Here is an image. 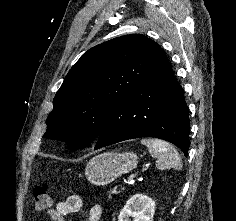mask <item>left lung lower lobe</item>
Returning <instances> with one entry per match:
<instances>
[{"label": "left lung lower lobe", "mask_w": 236, "mask_h": 221, "mask_svg": "<svg viewBox=\"0 0 236 221\" xmlns=\"http://www.w3.org/2000/svg\"><path fill=\"white\" fill-rule=\"evenodd\" d=\"M189 131L184 91L163 53L141 83L112 112L97 137L95 149L128 139L155 137L173 143L187 156Z\"/></svg>", "instance_id": "obj_1"}]
</instances>
